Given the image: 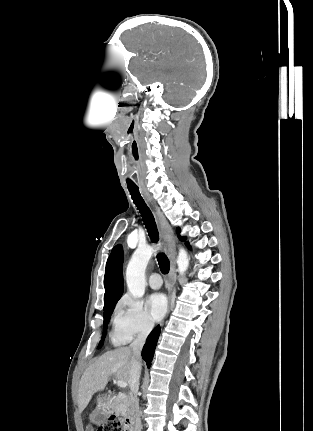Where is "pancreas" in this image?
<instances>
[{
    "mask_svg": "<svg viewBox=\"0 0 313 431\" xmlns=\"http://www.w3.org/2000/svg\"><path fill=\"white\" fill-rule=\"evenodd\" d=\"M112 409L118 415H124L127 411V405L125 403L124 396L115 397L112 401Z\"/></svg>",
    "mask_w": 313,
    "mask_h": 431,
    "instance_id": "cf45deb5",
    "label": "pancreas"
}]
</instances>
